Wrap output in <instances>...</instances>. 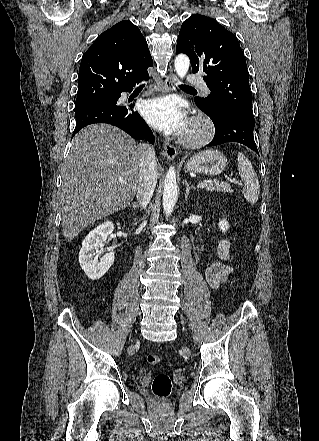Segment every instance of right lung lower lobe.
<instances>
[{
    "instance_id": "right-lung-lower-lobe-1",
    "label": "right lung lower lobe",
    "mask_w": 319,
    "mask_h": 441,
    "mask_svg": "<svg viewBox=\"0 0 319 441\" xmlns=\"http://www.w3.org/2000/svg\"><path fill=\"white\" fill-rule=\"evenodd\" d=\"M146 79L149 76L145 77ZM123 91L131 92L132 87ZM121 93L116 95L114 99L95 103L83 107L75 111L76 127L72 137L83 127L94 123H108L119 127L135 139H145L154 144V136L150 128L138 115L133 111V106H118L117 100Z\"/></svg>"
}]
</instances>
